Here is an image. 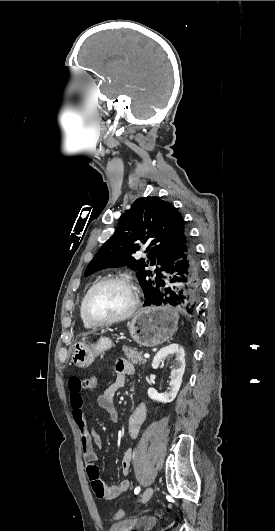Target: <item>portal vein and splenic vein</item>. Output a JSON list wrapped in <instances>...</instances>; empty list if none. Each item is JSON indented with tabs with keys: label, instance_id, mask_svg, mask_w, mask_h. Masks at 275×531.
<instances>
[{
	"label": "portal vein and splenic vein",
	"instance_id": "1",
	"mask_svg": "<svg viewBox=\"0 0 275 531\" xmlns=\"http://www.w3.org/2000/svg\"><path fill=\"white\" fill-rule=\"evenodd\" d=\"M144 359H149L150 355H148V353H145V355H143Z\"/></svg>",
	"mask_w": 275,
	"mask_h": 531
}]
</instances>
